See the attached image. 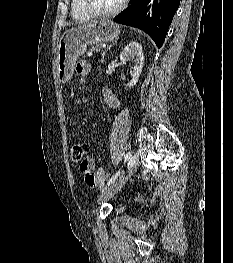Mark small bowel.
I'll use <instances>...</instances> for the list:
<instances>
[{"mask_svg": "<svg viewBox=\"0 0 233 263\" xmlns=\"http://www.w3.org/2000/svg\"><path fill=\"white\" fill-rule=\"evenodd\" d=\"M91 71V64L87 61L81 60L76 64V72L79 75H88ZM103 97L107 105L111 108L118 109L120 107V101L114 96V94L107 88L103 89ZM86 169L92 172L96 177V182L94 185H89L92 187H102L104 184V180L101 178V175L104 174V170L102 168L97 169L95 172V160L92 157L87 158L86 160ZM81 172L84 174L83 168L80 167Z\"/></svg>", "mask_w": 233, "mask_h": 263, "instance_id": "c3829d8e", "label": "small bowel"}]
</instances>
